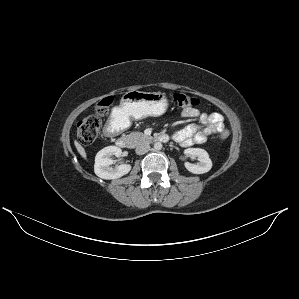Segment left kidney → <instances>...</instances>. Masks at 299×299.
<instances>
[{
  "label": "left kidney",
  "instance_id": "1",
  "mask_svg": "<svg viewBox=\"0 0 299 299\" xmlns=\"http://www.w3.org/2000/svg\"><path fill=\"white\" fill-rule=\"evenodd\" d=\"M186 156H196L199 163L192 164L189 162L185 163L186 169L193 174H203L208 172L212 168V161L209 154L201 148H188L184 150Z\"/></svg>",
  "mask_w": 299,
  "mask_h": 299
}]
</instances>
